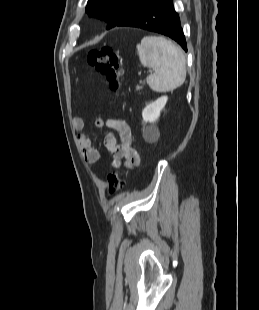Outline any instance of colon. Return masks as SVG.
<instances>
[{
    "mask_svg": "<svg viewBox=\"0 0 259 310\" xmlns=\"http://www.w3.org/2000/svg\"><path fill=\"white\" fill-rule=\"evenodd\" d=\"M87 62L101 75L108 83L109 88L118 93L122 88V70L117 52L111 46H102L97 49H91L87 53ZM109 191L111 193L123 187L125 181L120 171L113 170L107 175Z\"/></svg>",
    "mask_w": 259,
    "mask_h": 310,
    "instance_id": "obj_1",
    "label": "colon"
}]
</instances>
